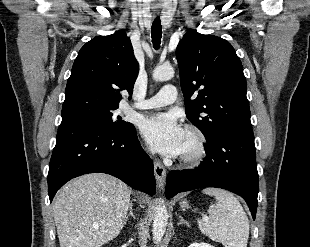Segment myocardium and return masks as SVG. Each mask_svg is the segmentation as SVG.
Instances as JSON below:
<instances>
[{"mask_svg": "<svg viewBox=\"0 0 310 247\" xmlns=\"http://www.w3.org/2000/svg\"><path fill=\"white\" fill-rule=\"evenodd\" d=\"M185 132L193 138L194 147L190 151L180 153V161L187 164H196L206 154V137L202 130L195 125H187L185 127Z\"/></svg>", "mask_w": 310, "mask_h": 247, "instance_id": "obj_1", "label": "myocardium"}]
</instances>
